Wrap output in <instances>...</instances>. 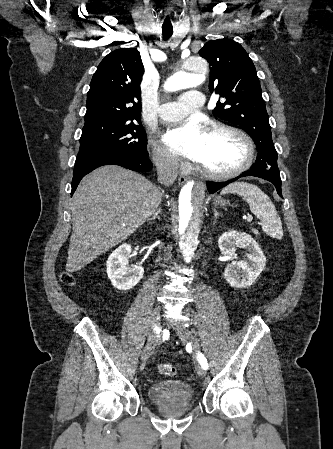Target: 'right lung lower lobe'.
Here are the masks:
<instances>
[{
  "label": "right lung lower lobe",
  "instance_id": "obj_1",
  "mask_svg": "<svg viewBox=\"0 0 333 449\" xmlns=\"http://www.w3.org/2000/svg\"><path fill=\"white\" fill-rule=\"evenodd\" d=\"M103 165H119L136 172H149L152 170V163L148 158V154L126 155L116 152L78 153L74 167L71 195H73L80 180L86 174Z\"/></svg>",
  "mask_w": 333,
  "mask_h": 449
}]
</instances>
